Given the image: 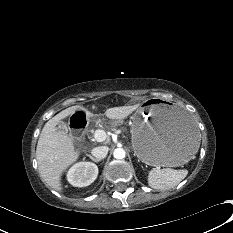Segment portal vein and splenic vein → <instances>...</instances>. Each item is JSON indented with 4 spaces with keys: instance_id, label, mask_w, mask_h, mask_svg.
<instances>
[{
    "instance_id": "obj_1",
    "label": "portal vein and splenic vein",
    "mask_w": 233,
    "mask_h": 233,
    "mask_svg": "<svg viewBox=\"0 0 233 233\" xmlns=\"http://www.w3.org/2000/svg\"><path fill=\"white\" fill-rule=\"evenodd\" d=\"M94 139L97 141V142H103L106 140V132L104 130H96L94 132Z\"/></svg>"
}]
</instances>
